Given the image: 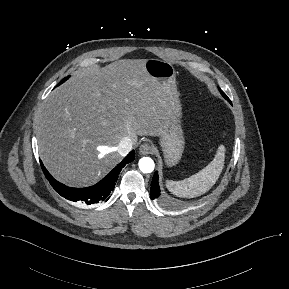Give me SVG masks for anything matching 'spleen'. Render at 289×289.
Returning <instances> with one entry per match:
<instances>
[{
    "mask_svg": "<svg viewBox=\"0 0 289 289\" xmlns=\"http://www.w3.org/2000/svg\"><path fill=\"white\" fill-rule=\"evenodd\" d=\"M225 159V147L220 145L214 159L198 173L181 181H166L168 190L179 197L193 198L207 192L218 180Z\"/></svg>",
    "mask_w": 289,
    "mask_h": 289,
    "instance_id": "3e777b00",
    "label": "spleen"
}]
</instances>
